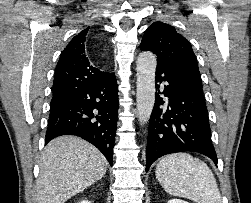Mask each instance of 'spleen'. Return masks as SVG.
Returning a JSON list of instances; mask_svg holds the SVG:
<instances>
[{
    "instance_id": "spleen-1",
    "label": "spleen",
    "mask_w": 251,
    "mask_h": 203,
    "mask_svg": "<svg viewBox=\"0 0 251 203\" xmlns=\"http://www.w3.org/2000/svg\"><path fill=\"white\" fill-rule=\"evenodd\" d=\"M156 178L174 196L197 203H221L216 179L205 162L187 153L163 157L156 167Z\"/></svg>"
}]
</instances>
